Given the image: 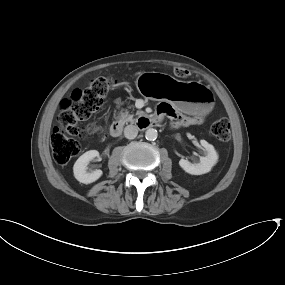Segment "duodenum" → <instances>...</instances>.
<instances>
[{"label":"duodenum","instance_id":"obj_1","mask_svg":"<svg viewBox=\"0 0 285 285\" xmlns=\"http://www.w3.org/2000/svg\"><path fill=\"white\" fill-rule=\"evenodd\" d=\"M140 120L144 122L146 126L151 125L153 122V120L149 117H142ZM122 132H123V124L121 122L115 121L111 124L110 133L113 137L121 136Z\"/></svg>","mask_w":285,"mask_h":285}]
</instances>
